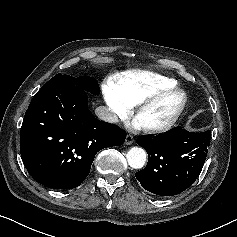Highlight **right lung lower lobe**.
Segmentation results:
<instances>
[{"instance_id": "1", "label": "right lung lower lobe", "mask_w": 237, "mask_h": 237, "mask_svg": "<svg viewBox=\"0 0 237 237\" xmlns=\"http://www.w3.org/2000/svg\"><path fill=\"white\" fill-rule=\"evenodd\" d=\"M125 138V131L93 116L85 90L66 83L45 84L25 113L20 151L37 182L72 189L88 176L97 152L119 146Z\"/></svg>"}]
</instances>
